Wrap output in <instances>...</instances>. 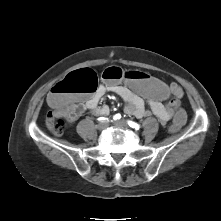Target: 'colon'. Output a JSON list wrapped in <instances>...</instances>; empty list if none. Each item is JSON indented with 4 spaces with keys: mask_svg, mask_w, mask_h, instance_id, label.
Masks as SVG:
<instances>
[{
    "mask_svg": "<svg viewBox=\"0 0 221 221\" xmlns=\"http://www.w3.org/2000/svg\"><path fill=\"white\" fill-rule=\"evenodd\" d=\"M103 78L111 84H119L125 89H132L135 93L151 100L167 104L174 100L176 92L172 85L163 83L158 77L147 72L141 73L135 69L123 72L115 66L106 70ZM98 87L97 74L90 68H83L68 74L58 82L48 95V102L54 109L48 114L47 124L50 130L60 135L63 133L68 114L74 108L76 99L85 94L93 93ZM188 120V111L184 107H177L173 111L170 131H181Z\"/></svg>",
    "mask_w": 221,
    "mask_h": 221,
    "instance_id": "1",
    "label": "colon"
}]
</instances>
